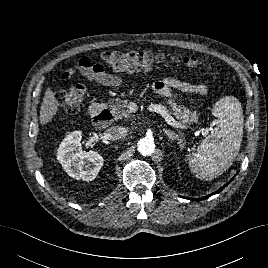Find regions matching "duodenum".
Returning <instances> with one entry per match:
<instances>
[{
  "label": "duodenum",
  "mask_w": 268,
  "mask_h": 268,
  "mask_svg": "<svg viewBox=\"0 0 268 268\" xmlns=\"http://www.w3.org/2000/svg\"><path fill=\"white\" fill-rule=\"evenodd\" d=\"M90 113L97 127H109L113 121V114L102 103L96 102L91 105Z\"/></svg>",
  "instance_id": "obj_1"
}]
</instances>
